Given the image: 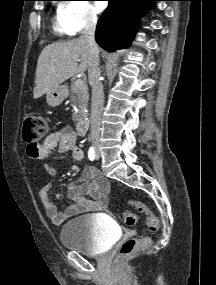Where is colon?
Returning a JSON list of instances; mask_svg holds the SVG:
<instances>
[{
    "mask_svg": "<svg viewBox=\"0 0 216 285\" xmlns=\"http://www.w3.org/2000/svg\"><path fill=\"white\" fill-rule=\"evenodd\" d=\"M48 132L47 119L39 114L27 115L23 121L22 137L27 144L28 154L36 157L40 153L41 140ZM127 204L135 208L138 212L146 216V223L150 231H155L158 227V218L151 210L142 202L137 200H128ZM138 217L133 212H125L123 221L128 227H132L137 223ZM150 243V238H130L123 242L117 256L118 261H123L135 252L144 249Z\"/></svg>",
    "mask_w": 216,
    "mask_h": 285,
    "instance_id": "obj_1",
    "label": "colon"
}]
</instances>
